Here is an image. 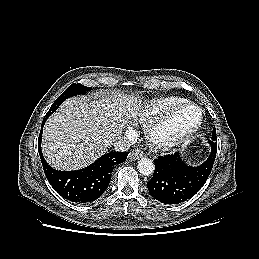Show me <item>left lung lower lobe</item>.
I'll return each instance as SVG.
<instances>
[{"instance_id":"1","label":"left lung lower lobe","mask_w":259,"mask_h":259,"mask_svg":"<svg viewBox=\"0 0 259 259\" xmlns=\"http://www.w3.org/2000/svg\"><path fill=\"white\" fill-rule=\"evenodd\" d=\"M210 145V156L198 167L185 164L179 152L155 159V172L147 183L151 196L164 204H178L193 197L205 184L215 161L217 143Z\"/></svg>"}]
</instances>
